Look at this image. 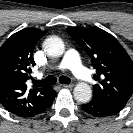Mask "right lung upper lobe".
<instances>
[{"instance_id": "obj_1", "label": "right lung upper lobe", "mask_w": 133, "mask_h": 133, "mask_svg": "<svg viewBox=\"0 0 133 133\" xmlns=\"http://www.w3.org/2000/svg\"><path fill=\"white\" fill-rule=\"evenodd\" d=\"M44 34L40 29H23L10 36L0 48V103L20 117L42 113L55 96L52 87L27 86L31 67L35 65L34 47Z\"/></svg>"}]
</instances>
